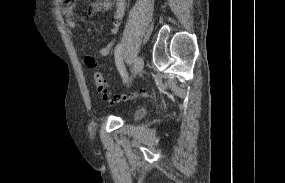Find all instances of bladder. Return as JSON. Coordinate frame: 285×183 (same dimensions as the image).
<instances>
[{
  "instance_id": "bladder-1",
  "label": "bladder",
  "mask_w": 285,
  "mask_h": 183,
  "mask_svg": "<svg viewBox=\"0 0 285 183\" xmlns=\"http://www.w3.org/2000/svg\"><path fill=\"white\" fill-rule=\"evenodd\" d=\"M144 114H145V111H144V110L138 109V110L135 112L134 117H135L136 119H140L141 117L144 116Z\"/></svg>"
}]
</instances>
